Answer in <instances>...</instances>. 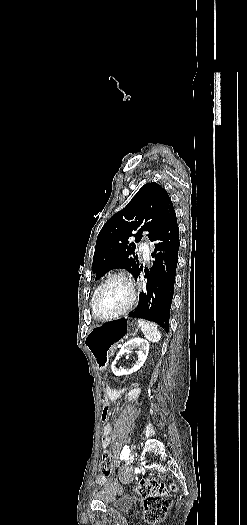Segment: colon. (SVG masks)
<instances>
[{
	"mask_svg": "<svg viewBox=\"0 0 247 525\" xmlns=\"http://www.w3.org/2000/svg\"><path fill=\"white\" fill-rule=\"evenodd\" d=\"M99 386L101 389L106 390L109 388L110 383L108 380L103 379L100 381ZM100 408L102 415L99 423L104 425L112 409L106 402L101 403ZM100 470L105 476H109L112 473L113 460L109 452L101 454ZM134 491L143 500V520L149 524H158L164 520L170 507L168 496L173 492H177L178 486L175 484H160L155 480L143 478L137 482Z\"/></svg>",
	"mask_w": 247,
	"mask_h": 525,
	"instance_id": "5ec220e1",
	"label": "colon"
}]
</instances>
